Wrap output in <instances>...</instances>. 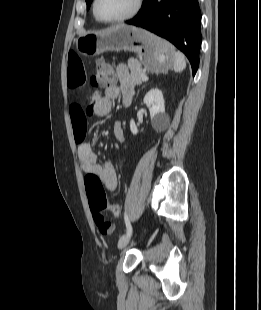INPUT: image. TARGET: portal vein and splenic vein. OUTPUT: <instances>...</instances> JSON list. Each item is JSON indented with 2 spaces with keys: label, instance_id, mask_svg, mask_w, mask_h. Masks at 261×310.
<instances>
[{
  "label": "portal vein and splenic vein",
  "instance_id": "18ae733b",
  "mask_svg": "<svg viewBox=\"0 0 261 310\" xmlns=\"http://www.w3.org/2000/svg\"><path fill=\"white\" fill-rule=\"evenodd\" d=\"M142 80H143V81H147V80H148L147 75L142 76Z\"/></svg>",
  "mask_w": 261,
  "mask_h": 310
}]
</instances>
